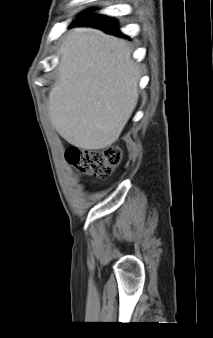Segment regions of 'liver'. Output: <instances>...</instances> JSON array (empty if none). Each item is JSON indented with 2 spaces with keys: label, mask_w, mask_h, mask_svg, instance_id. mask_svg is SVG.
<instances>
[{
  "label": "liver",
  "mask_w": 213,
  "mask_h": 338,
  "mask_svg": "<svg viewBox=\"0 0 213 338\" xmlns=\"http://www.w3.org/2000/svg\"><path fill=\"white\" fill-rule=\"evenodd\" d=\"M125 40L93 28L69 31L48 96L52 126L68 143L104 149L118 139L139 98L140 70Z\"/></svg>",
  "instance_id": "1"
}]
</instances>
